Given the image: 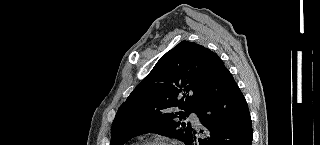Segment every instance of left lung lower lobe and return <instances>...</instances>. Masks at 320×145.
<instances>
[{"instance_id": "0a47b994", "label": "left lung lower lobe", "mask_w": 320, "mask_h": 145, "mask_svg": "<svg viewBox=\"0 0 320 145\" xmlns=\"http://www.w3.org/2000/svg\"><path fill=\"white\" fill-rule=\"evenodd\" d=\"M206 138H197L193 130L186 145H251V117L247 102L229 70L220 59L202 84L197 113Z\"/></svg>"}]
</instances>
